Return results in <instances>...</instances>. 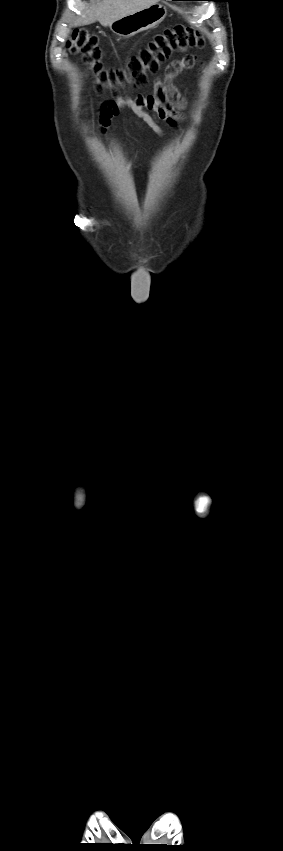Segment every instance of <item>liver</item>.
I'll return each mask as SVG.
<instances>
[{"mask_svg":"<svg viewBox=\"0 0 283 851\" xmlns=\"http://www.w3.org/2000/svg\"><path fill=\"white\" fill-rule=\"evenodd\" d=\"M158 0H97L90 9L73 25H88L98 21L102 26H110L115 20L149 7Z\"/></svg>","mask_w":283,"mask_h":851,"instance_id":"liver-1","label":"liver"}]
</instances>
